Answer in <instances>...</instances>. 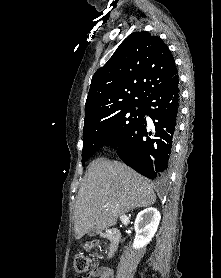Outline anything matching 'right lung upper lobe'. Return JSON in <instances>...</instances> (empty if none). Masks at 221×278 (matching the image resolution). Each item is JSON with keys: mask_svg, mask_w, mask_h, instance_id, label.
<instances>
[{"mask_svg": "<svg viewBox=\"0 0 221 278\" xmlns=\"http://www.w3.org/2000/svg\"><path fill=\"white\" fill-rule=\"evenodd\" d=\"M177 73L174 58L161 38L145 31L131 33L93 75L85 121L144 102L151 91Z\"/></svg>", "mask_w": 221, "mask_h": 278, "instance_id": "obj_1", "label": "right lung upper lobe"}]
</instances>
